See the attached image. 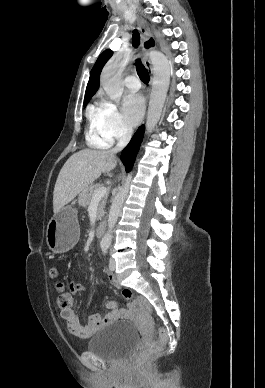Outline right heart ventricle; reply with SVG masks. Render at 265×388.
<instances>
[{
  "label": "right heart ventricle",
  "instance_id": "right-heart-ventricle-1",
  "mask_svg": "<svg viewBox=\"0 0 265 388\" xmlns=\"http://www.w3.org/2000/svg\"><path fill=\"white\" fill-rule=\"evenodd\" d=\"M90 127L87 133L88 141L95 146L106 148L110 146L111 140L101 134L99 125L97 122L95 109L90 110Z\"/></svg>",
  "mask_w": 265,
  "mask_h": 388
}]
</instances>
